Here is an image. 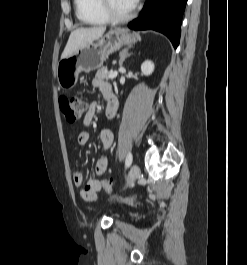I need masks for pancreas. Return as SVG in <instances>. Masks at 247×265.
<instances>
[{
    "label": "pancreas",
    "instance_id": "cf45deb5",
    "mask_svg": "<svg viewBox=\"0 0 247 265\" xmlns=\"http://www.w3.org/2000/svg\"><path fill=\"white\" fill-rule=\"evenodd\" d=\"M110 73L111 71H108L107 67H101L100 69H98L95 78L99 80H108Z\"/></svg>",
    "mask_w": 247,
    "mask_h": 265
}]
</instances>
